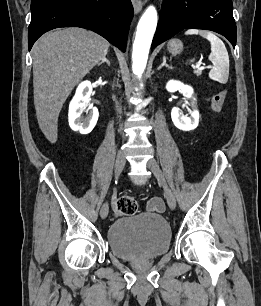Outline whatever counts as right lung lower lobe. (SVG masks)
Returning a JSON list of instances; mask_svg holds the SVG:
<instances>
[{
	"label": "right lung lower lobe",
	"mask_w": 261,
	"mask_h": 306,
	"mask_svg": "<svg viewBox=\"0 0 261 306\" xmlns=\"http://www.w3.org/2000/svg\"><path fill=\"white\" fill-rule=\"evenodd\" d=\"M28 47L45 32L58 27L92 30L123 52L133 7L130 0H32Z\"/></svg>",
	"instance_id": "obj_1"
}]
</instances>
